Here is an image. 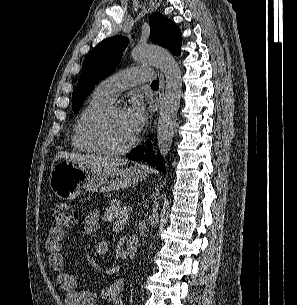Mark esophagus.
Here are the masks:
<instances>
[{"label":"esophagus","mask_w":297,"mask_h":305,"mask_svg":"<svg viewBox=\"0 0 297 305\" xmlns=\"http://www.w3.org/2000/svg\"><path fill=\"white\" fill-rule=\"evenodd\" d=\"M159 77H160V88H159L158 97H159V101L161 102L162 99H163V96H164V84H165V81H164L163 73H160Z\"/></svg>","instance_id":"34e87169"}]
</instances>
